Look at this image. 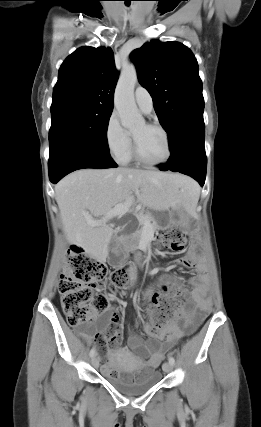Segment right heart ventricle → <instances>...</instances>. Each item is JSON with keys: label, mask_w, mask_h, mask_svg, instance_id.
Returning a JSON list of instances; mask_svg holds the SVG:
<instances>
[{"label": "right heart ventricle", "mask_w": 261, "mask_h": 427, "mask_svg": "<svg viewBox=\"0 0 261 427\" xmlns=\"http://www.w3.org/2000/svg\"><path fill=\"white\" fill-rule=\"evenodd\" d=\"M132 160V153H131V150H130V152H129V154H128V156L126 157V159L123 161L124 163H128V162H130Z\"/></svg>", "instance_id": "right-heart-ventricle-1"}]
</instances>
